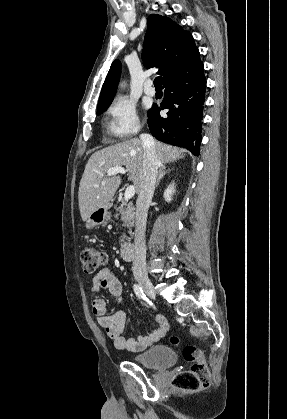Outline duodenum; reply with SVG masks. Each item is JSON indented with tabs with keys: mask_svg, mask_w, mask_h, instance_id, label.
Wrapping results in <instances>:
<instances>
[{
	"mask_svg": "<svg viewBox=\"0 0 287 419\" xmlns=\"http://www.w3.org/2000/svg\"><path fill=\"white\" fill-rule=\"evenodd\" d=\"M120 255L125 261H132L135 257V248L131 242H124L120 248Z\"/></svg>",
	"mask_w": 287,
	"mask_h": 419,
	"instance_id": "obj_1",
	"label": "duodenum"
}]
</instances>
